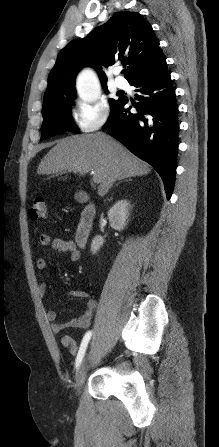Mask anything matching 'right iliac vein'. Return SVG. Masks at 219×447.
Masks as SVG:
<instances>
[{
	"label": "right iliac vein",
	"instance_id": "1",
	"mask_svg": "<svg viewBox=\"0 0 219 447\" xmlns=\"http://www.w3.org/2000/svg\"><path fill=\"white\" fill-rule=\"evenodd\" d=\"M88 370V354L83 358L81 364L79 365L78 371L76 373V383H75V391L76 395H79L80 389L85 382L86 375Z\"/></svg>",
	"mask_w": 219,
	"mask_h": 447
}]
</instances>
